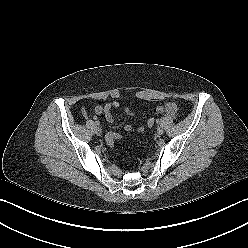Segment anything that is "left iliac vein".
<instances>
[{"label":"left iliac vein","mask_w":248,"mask_h":248,"mask_svg":"<svg viewBox=\"0 0 248 248\" xmlns=\"http://www.w3.org/2000/svg\"><path fill=\"white\" fill-rule=\"evenodd\" d=\"M164 133V130L161 128V127H159L158 129H157V135H162Z\"/></svg>","instance_id":"left-iliac-vein-1"}]
</instances>
